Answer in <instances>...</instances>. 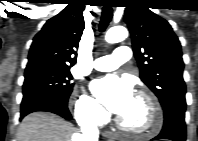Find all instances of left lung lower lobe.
<instances>
[{
	"label": "left lung lower lobe",
	"mask_w": 198,
	"mask_h": 141,
	"mask_svg": "<svg viewBox=\"0 0 198 141\" xmlns=\"http://www.w3.org/2000/svg\"><path fill=\"white\" fill-rule=\"evenodd\" d=\"M185 110L186 102H175L168 105L164 109L163 129L157 137L153 138V140L168 139L172 141H185Z\"/></svg>",
	"instance_id": "0a47b994"
}]
</instances>
